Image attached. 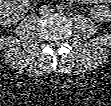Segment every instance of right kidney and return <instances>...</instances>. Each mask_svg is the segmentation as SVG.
Masks as SVG:
<instances>
[{"mask_svg":"<svg viewBox=\"0 0 111 106\" xmlns=\"http://www.w3.org/2000/svg\"><path fill=\"white\" fill-rule=\"evenodd\" d=\"M1 19L3 25H11L14 24L20 19V11L23 10L21 6L14 1H2L1 2Z\"/></svg>","mask_w":111,"mask_h":106,"instance_id":"obj_1","label":"right kidney"}]
</instances>
